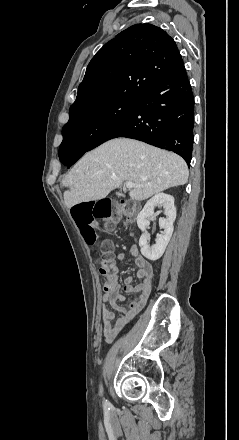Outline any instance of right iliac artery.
Listing matches in <instances>:
<instances>
[{
  "mask_svg": "<svg viewBox=\"0 0 239 440\" xmlns=\"http://www.w3.org/2000/svg\"><path fill=\"white\" fill-rule=\"evenodd\" d=\"M101 392H102V386H101ZM103 405H104V408H105V409H109L110 406H111V404H110L107 400H104V401H103Z\"/></svg>",
  "mask_w": 239,
  "mask_h": 440,
  "instance_id": "82829eb1",
  "label": "right iliac artery"
}]
</instances>
